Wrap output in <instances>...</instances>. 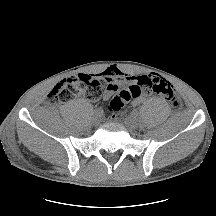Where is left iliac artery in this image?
Listing matches in <instances>:
<instances>
[{"label":"left iliac artery","instance_id":"1","mask_svg":"<svg viewBox=\"0 0 216 216\" xmlns=\"http://www.w3.org/2000/svg\"><path fill=\"white\" fill-rule=\"evenodd\" d=\"M138 112L137 111H134L133 112V115L137 116Z\"/></svg>","mask_w":216,"mask_h":216}]
</instances>
